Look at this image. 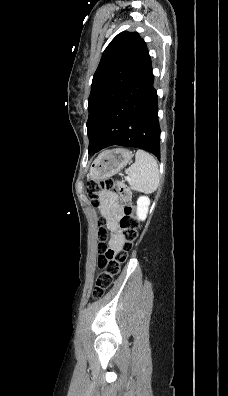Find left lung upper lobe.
I'll return each instance as SVG.
<instances>
[{
	"instance_id": "obj_1",
	"label": "left lung upper lobe",
	"mask_w": 228,
	"mask_h": 396,
	"mask_svg": "<svg viewBox=\"0 0 228 396\" xmlns=\"http://www.w3.org/2000/svg\"><path fill=\"white\" fill-rule=\"evenodd\" d=\"M150 61L146 43L137 32H121L107 46L93 76L88 99V152L98 150L100 130L125 108L127 100L118 101Z\"/></svg>"
}]
</instances>
